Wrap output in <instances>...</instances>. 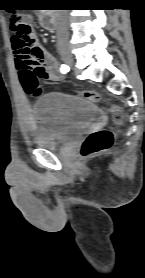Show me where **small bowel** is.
<instances>
[{"label":"small bowel","instance_id":"1","mask_svg":"<svg viewBox=\"0 0 145 278\" xmlns=\"http://www.w3.org/2000/svg\"><path fill=\"white\" fill-rule=\"evenodd\" d=\"M20 18L26 24L32 23V16L29 13L21 14ZM21 41L22 40L16 34L13 35L12 50L18 70L19 82L27 96L35 97L38 95V91L33 94H28L26 92V87L31 85V78L38 76L53 82L60 78L61 71L54 57L40 45L33 35L27 47H24ZM30 124H33V118H30Z\"/></svg>","mask_w":145,"mask_h":278}]
</instances>
